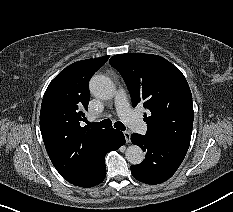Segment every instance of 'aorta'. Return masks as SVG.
Listing matches in <instances>:
<instances>
[{
    "label": "aorta",
    "mask_w": 233,
    "mask_h": 212,
    "mask_svg": "<svg viewBox=\"0 0 233 212\" xmlns=\"http://www.w3.org/2000/svg\"><path fill=\"white\" fill-rule=\"evenodd\" d=\"M91 93L101 99H112L116 92V87L110 78L104 75H94L89 83ZM126 159L132 165L140 164L144 159L142 149L137 145H130L125 152Z\"/></svg>",
    "instance_id": "obj_1"
}]
</instances>
